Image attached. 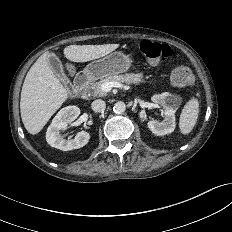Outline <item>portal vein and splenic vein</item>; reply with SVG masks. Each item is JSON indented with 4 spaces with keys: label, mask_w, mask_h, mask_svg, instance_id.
Segmentation results:
<instances>
[{
    "label": "portal vein and splenic vein",
    "mask_w": 232,
    "mask_h": 232,
    "mask_svg": "<svg viewBox=\"0 0 232 232\" xmlns=\"http://www.w3.org/2000/svg\"><path fill=\"white\" fill-rule=\"evenodd\" d=\"M113 87L121 89L125 88V86L120 82H105L104 84H102L101 89L105 92H109Z\"/></svg>",
    "instance_id": "obj_1"
}]
</instances>
